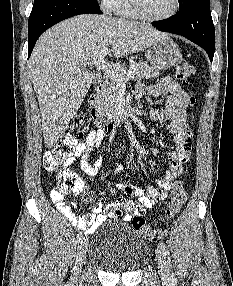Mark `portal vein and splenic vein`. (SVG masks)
<instances>
[{
	"mask_svg": "<svg viewBox=\"0 0 233 286\" xmlns=\"http://www.w3.org/2000/svg\"><path fill=\"white\" fill-rule=\"evenodd\" d=\"M108 54V49L104 48L99 56L95 59H93L91 62H88L87 64L89 66L96 65L99 68H101L105 73L112 78H115L118 82L123 83L126 82L128 79L134 78L133 72H129L126 75L120 73L117 68L112 66L110 63L105 61V57Z\"/></svg>",
	"mask_w": 233,
	"mask_h": 286,
	"instance_id": "obj_1",
	"label": "portal vein and splenic vein"
}]
</instances>
